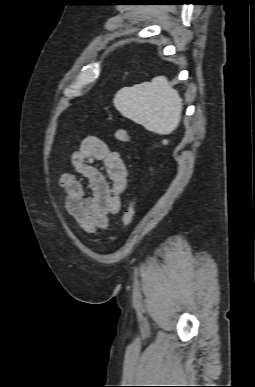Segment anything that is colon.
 Instances as JSON below:
<instances>
[{"label":"colon","mask_w":255,"mask_h":387,"mask_svg":"<svg viewBox=\"0 0 255 387\" xmlns=\"http://www.w3.org/2000/svg\"><path fill=\"white\" fill-rule=\"evenodd\" d=\"M115 137L118 141L123 143H130L131 142V135L130 132L126 128H119L115 131ZM135 216V203L133 200H131L127 206V208L124 211L122 222L124 226H129Z\"/></svg>","instance_id":"1"}]
</instances>
